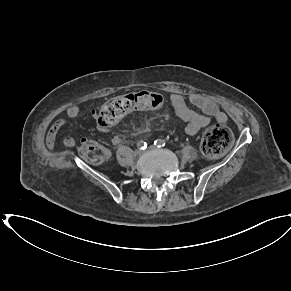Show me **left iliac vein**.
I'll return each mask as SVG.
<instances>
[{
	"mask_svg": "<svg viewBox=\"0 0 291 291\" xmlns=\"http://www.w3.org/2000/svg\"><path fill=\"white\" fill-rule=\"evenodd\" d=\"M154 148H155L154 146H150V147H149V149H154Z\"/></svg>",
	"mask_w": 291,
	"mask_h": 291,
	"instance_id": "obj_1",
	"label": "left iliac vein"
}]
</instances>
